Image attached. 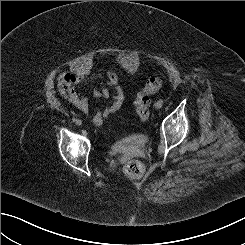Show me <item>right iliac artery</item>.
Here are the masks:
<instances>
[{
  "mask_svg": "<svg viewBox=\"0 0 245 245\" xmlns=\"http://www.w3.org/2000/svg\"><path fill=\"white\" fill-rule=\"evenodd\" d=\"M72 120H73V122H76V121H77V119H76V118H73Z\"/></svg>",
  "mask_w": 245,
  "mask_h": 245,
  "instance_id": "82829eb1",
  "label": "right iliac artery"
}]
</instances>
